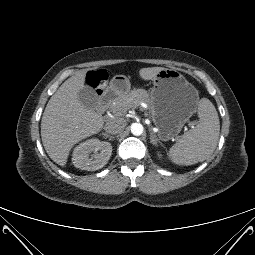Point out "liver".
<instances>
[{
  "label": "liver",
  "instance_id": "6515ba94",
  "mask_svg": "<svg viewBox=\"0 0 255 255\" xmlns=\"http://www.w3.org/2000/svg\"><path fill=\"white\" fill-rule=\"evenodd\" d=\"M162 67L142 68L139 76L153 80L164 70ZM86 71L67 79L48 101L41 119V138L48 156L64 167L69 153L81 140L99 133L105 119L101 113L85 107L79 100V92L86 87Z\"/></svg>",
  "mask_w": 255,
  "mask_h": 255
}]
</instances>
